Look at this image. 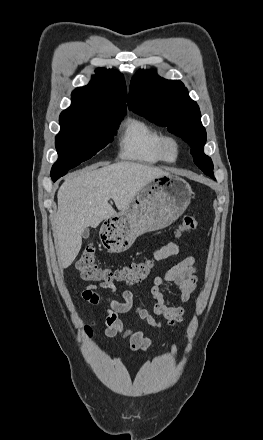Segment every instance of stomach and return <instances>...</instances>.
Returning <instances> with one entry per match:
<instances>
[{
  "label": "stomach",
  "instance_id": "stomach-1",
  "mask_svg": "<svg viewBox=\"0 0 263 440\" xmlns=\"http://www.w3.org/2000/svg\"><path fill=\"white\" fill-rule=\"evenodd\" d=\"M192 194L190 185L176 175L153 179L127 207L104 220V245L113 253L126 251L138 236L172 224L187 209Z\"/></svg>",
  "mask_w": 263,
  "mask_h": 440
}]
</instances>
